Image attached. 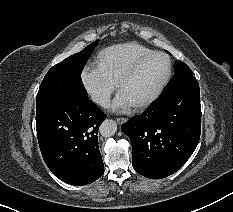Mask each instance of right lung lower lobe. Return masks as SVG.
<instances>
[{
    "label": "right lung lower lobe",
    "mask_w": 233,
    "mask_h": 212,
    "mask_svg": "<svg viewBox=\"0 0 233 212\" xmlns=\"http://www.w3.org/2000/svg\"><path fill=\"white\" fill-rule=\"evenodd\" d=\"M106 115L88 97L71 96L36 119L43 159L62 181L86 185L104 173L98 128Z\"/></svg>",
    "instance_id": "1"
}]
</instances>
